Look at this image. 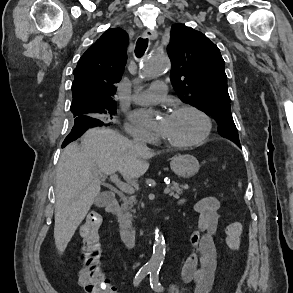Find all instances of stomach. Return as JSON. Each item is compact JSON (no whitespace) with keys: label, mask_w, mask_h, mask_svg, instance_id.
Here are the masks:
<instances>
[{"label":"stomach","mask_w":293,"mask_h":293,"mask_svg":"<svg viewBox=\"0 0 293 293\" xmlns=\"http://www.w3.org/2000/svg\"><path fill=\"white\" fill-rule=\"evenodd\" d=\"M171 170L180 178L194 176L200 168L198 160L190 154L178 155L170 163Z\"/></svg>","instance_id":"1"}]
</instances>
